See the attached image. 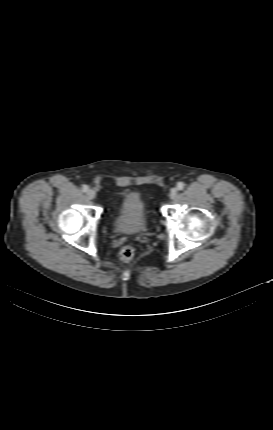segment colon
Segmentation results:
<instances>
[{
  "instance_id": "1",
  "label": "colon",
  "mask_w": 273,
  "mask_h": 430,
  "mask_svg": "<svg viewBox=\"0 0 273 430\" xmlns=\"http://www.w3.org/2000/svg\"><path fill=\"white\" fill-rule=\"evenodd\" d=\"M135 248L132 245H124L119 250L120 259L124 262H129L134 258Z\"/></svg>"
}]
</instances>
